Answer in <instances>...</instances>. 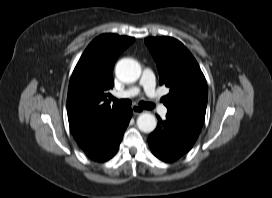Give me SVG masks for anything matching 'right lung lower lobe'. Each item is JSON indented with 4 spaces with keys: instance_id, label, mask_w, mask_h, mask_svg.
<instances>
[{
    "instance_id": "right-lung-lower-lobe-1",
    "label": "right lung lower lobe",
    "mask_w": 272,
    "mask_h": 198,
    "mask_svg": "<svg viewBox=\"0 0 272 198\" xmlns=\"http://www.w3.org/2000/svg\"><path fill=\"white\" fill-rule=\"evenodd\" d=\"M131 117V108H120L76 142L91 159L99 162L107 161L118 151Z\"/></svg>"
}]
</instances>
